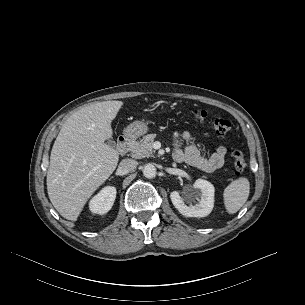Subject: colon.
I'll return each instance as SVG.
<instances>
[{
	"mask_svg": "<svg viewBox=\"0 0 305 305\" xmlns=\"http://www.w3.org/2000/svg\"><path fill=\"white\" fill-rule=\"evenodd\" d=\"M191 116L194 122L197 124H209L217 135L224 136L231 131L230 121L220 117L210 118L205 110L195 109L191 111ZM231 155L234 159V173L235 175L239 176L246 168L244 155L240 150L237 149H233L231 151Z\"/></svg>",
	"mask_w": 305,
	"mask_h": 305,
	"instance_id": "1",
	"label": "colon"
}]
</instances>
